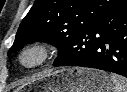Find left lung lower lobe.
<instances>
[{"label":"left lung lower lobe","mask_w":127,"mask_h":92,"mask_svg":"<svg viewBox=\"0 0 127 92\" xmlns=\"http://www.w3.org/2000/svg\"><path fill=\"white\" fill-rule=\"evenodd\" d=\"M54 66H81L127 77V0L80 32Z\"/></svg>","instance_id":"obj_1"}]
</instances>
